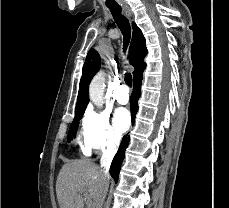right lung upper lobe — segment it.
Instances as JSON below:
<instances>
[{
	"instance_id": "right-lung-upper-lobe-1",
	"label": "right lung upper lobe",
	"mask_w": 229,
	"mask_h": 208,
	"mask_svg": "<svg viewBox=\"0 0 229 208\" xmlns=\"http://www.w3.org/2000/svg\"><path fill=\"white\" fill-rule=\"evenodd\" d=\"M133 35L129 47V63L134 66L133 77L141 75L146 68L144 58L147 54L145 38L141 30L132 23ZM100 68V55L95 49H91L86 57L82 77L79 85V94L75 109L74 121L80 120L89 102L88 87L91 79Z\"/></svg>"
}]
</instances>
